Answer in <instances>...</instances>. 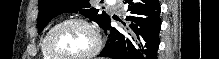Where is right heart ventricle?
Returning <instances> with one entry per match:
<instances>
[{
    "label": "right heart ventricle",
    "mask_w": 219,
    "mask_h": 59,
    "mask_svg": "<svg viewBox=\"0 0 219 59\" xmlns=\"http://www.w3.org/2000/svg\"><path fill=\"white\" fill-rule=\"evenodd\" d=\"M45 36L42 38L41 42H40V52H41V58L42 59H54L52 58L46 51L45 49Z\"/></svg>",
    "instance_id": "1"
}]
</instances>
